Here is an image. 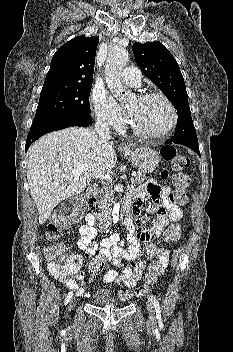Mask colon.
<instances>
[{
    "mask_svg": "<svg viewBox=\"0 0 233 352\" xmlns=\"http://www.w3.org/2000/svg\"><path fill=\"white\" fill-rule=\"evenodd\" d=\"M161 157L164 161L169 163L176 171H180L187 167L189 160L184 155L180 154L174 146L164 145L160 150ZM162 178H168V171L163 170ZM188 177L184 174L178 173L174 177L175 190L172 193V200L179 205L186 202L185 188L188 185ZM85 210V203L82 197H77L73 201V207L67 215L55 214L48 224L47 231L50 239H55L59 228L67 227L71 222L77 221ZM180 236V225L171 224L164 232L163 239L166 243L176 241ZM43 254L48 261V268L50 273L56 278H65L71 275L74 271L73 266L68 262L63 254V247L60 243H53L43 247ZM109 259L106 255L99 253L92 258L88 265L89 278L92 280L98 276L101 271L108 265ZM164 266L161 261H153L146 273L145 284L139 289L140 294H145L148 287L157 282L163 273ZM119 297L127 299L131 293L126 289L118 292Z\"/></svg>",
    "mask_w": 233,
    "mask_h": 352,
    "instance_id": "5ec220e1",
    "label": "colon"
}]
</instances>
